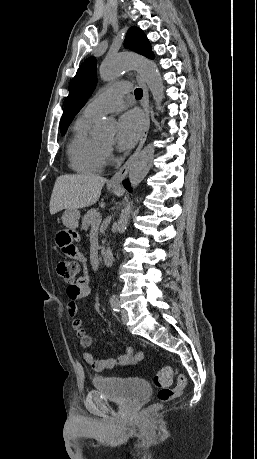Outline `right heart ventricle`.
<instances>
[{
  "label": "right heart ventricle",
  "mask_w": 257,
  "mask_h": 459,
  "mask_svg": "<svg viewBox=\"0 0 257 459\" xmlns=\"http://www.w3.org/2000/svg\"><path fill=\"white\" fill-rule=\"evenodd\" d=\"M95 118L83 113L74 124L73 135L67 146L70 167L78 173H100L104 168L105 148L89 133Z\"/></svg>",
  "instance_id": "1"
}]
</instances>
